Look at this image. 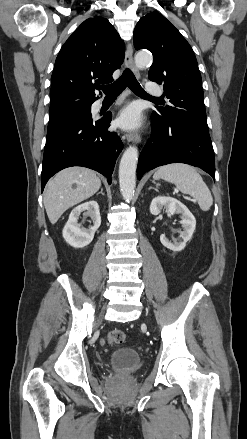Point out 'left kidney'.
<instances>
[{
    "instance_id": "obj_1",
    "label": "left kidney",
    "mask_w": 247,
    "mask_h": 439,
    "mask_svg": "<svg viewBox=\"0 0 247 439\" xmlns=\"http://www.w3.org/2000/svg\"><path fill=\"white\" fill-rule=\"evenodd\" d=\"M163 208L166 209L168 214H180V223L183 227V231L180 232L179 241L173 239L171 242L164 234L160 236V241L166 248L179 252L185 248L186 243L192 238L196 227V219L183 203L167 196L155 197L150 204V213L152 215H158Z\"/></svg>"
}]
</instances>
